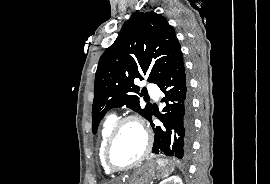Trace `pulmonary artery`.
Returning <instances> with one entry per match:
<instances>
[{
  "label": "pulmonary artery",
  "instance_id": "obj_1",
  "mask_svg": "<svg viewBox=\"0 0 270 184\" xmlns=\"http://www.w3.org/2000/svg\"><path fill=\"white\" fill-rule=\"evenodd\" d=\"M147 89L149 93L152 94L155 98L158 97L159 89L156 85L150 83L147 85Z\"/></svg>",
  "mask_w": 270,
  "mask_h": 184
}]
</instances>
